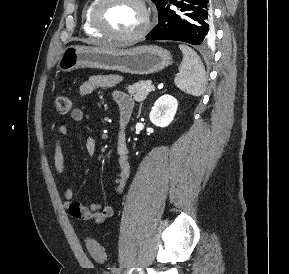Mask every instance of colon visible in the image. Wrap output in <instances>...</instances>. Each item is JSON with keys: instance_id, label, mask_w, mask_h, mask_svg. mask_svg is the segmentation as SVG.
<instances>
[{"instance_id": "5ec220e1", "label": "colon", "mask_w": 289, "mask_h": 274, "mask_svg": "<svg viewBox=\"0 0 289 274\" xmlns=\"http://www.w3.org/2000/svg\"><path fill=\"white\" fill-rule=\"evenodd\" d=\"M53 106L58 115H66L72 108V99L65 94L57 95L53 100ZM86 245L90 255L95 261L101 263L106 260V253L97 241L88 239Z\"/></svg>"}]
</instances>
